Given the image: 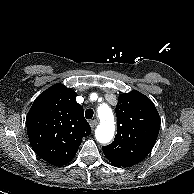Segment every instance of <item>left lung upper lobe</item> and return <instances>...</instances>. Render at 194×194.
Instances as JSON below:
<instances>
[{"label":"left lung upper lobe","mask_w":194,"mask_h":194,"mask_svg":"<svg viewBox=\"0 0 194 194\" xmlns=\"http://www.w3.org/2000/svg\"><path fill=\"white\" fill-rule=\"evenodd\" d=\"M116 116L115 139L102 149L113 165L131 167L152 150L161 120L152 101L136 90L119 96Z\"/></svg>","instance_id":"1"}]
</instances>
